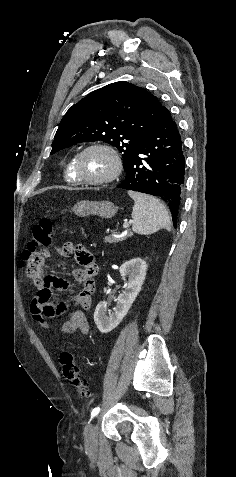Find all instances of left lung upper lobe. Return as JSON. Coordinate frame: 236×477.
<instances>
[{
    "label": "left lung upper lobe",
    "mask_w": 236,
    "mask_h": 477,
    "mask_svg": "<svg viewBox=\"0 0 236 477\" xmlns=\"http://www.w3.org/2000/svg\"><path fill=\"white\" fill-rule=\"evenodd\" d=\"M162 105L146 89L116 82L93 91L62 118L51 154L85 141L115 146L124 170L158 122Z\"/></svg>",
    "instance_id": "5c2ea615"
}]
</instances>
